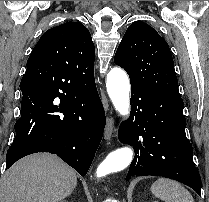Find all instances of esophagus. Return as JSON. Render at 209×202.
Returning a JSON list of instances; mask_svg holds the SVG:
<instances>
[{"label": "esophagus", "instance_id": "34e87169", "mask_svg": "<svg viewBox=\"0 0 209 202\" xmlns=\"http://www.w3.org/2000/svg\"><path fill=\"white\" fill-rule=\"evenodd\" d=\"M114 129V120L112 117H109L107 120L106 128H105V139L109 140L113 133Z\"/></svg>", "mask_w": 209, "mask_h": 202}]
</instances>
